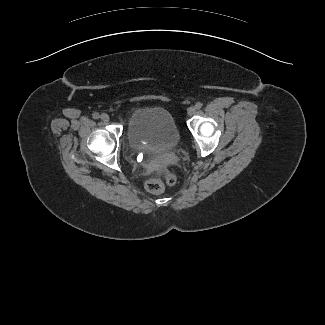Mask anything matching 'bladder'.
Here are the masks:
<instances>
[{
    "label": "bladder",
    "mask_w": 325,
    "mask_h": 325,
    "mask_svg": "<svg viewBox=\"0 0 325 325\" xmlns=\"http://www.w3.org/2000/svg\"><path fill=\"white\" fill-rule=\"evenodd\" d=\"M127 138L131 146L152 151H166L180 143V132L170 111L161 107L139 108L127 121Z\"/></svg>",
    "instance_id": "31cf9c89"
}]
</instances>
